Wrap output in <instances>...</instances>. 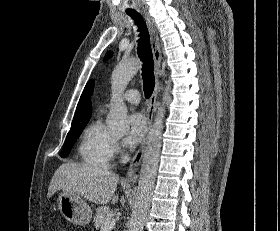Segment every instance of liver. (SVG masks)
I'll return each instance as SVG.
<instances>
[{
  "mask_svg": "<svg viewBox=\"0 0 280 231\" xmlns=\"http://www.w3.org/2000/svg\"><path fill=\"white\" fill-rule=\"evenodd\" d=\"M118 181L117 173L112 171H98L79 163H62L50 181L47 197H51L57 189H63L101 205L109 201L117 203L115 189ZM122 203H125V199H122Z\"/></svg>",
  "mask_w": 280,
  "mask_h": 231,
  "instance_id": "6515ba94",
  "label": "liver"
}]
</instances>
